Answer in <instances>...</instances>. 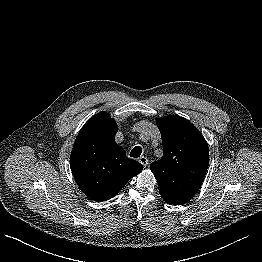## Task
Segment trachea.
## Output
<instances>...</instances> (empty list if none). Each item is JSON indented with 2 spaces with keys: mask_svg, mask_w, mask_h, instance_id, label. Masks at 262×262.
<instances>
[{
  "mask_svg": "<svg viewBox=\"0 0 262 262\" xmlns=\"http://www.w3.org/2000/svg\"><path fill=\"white\" fill-rule=\"evenodd\" d=\"M142 153V148L140 146H135L131 152H130V156L133 157V158H138L140 157Z\"/></svg>",
  "mask_w": 262,
  "mask_h": 262,
  "instance_id": "trachea-1",
  "label": "trachea"
}]
</instances>
